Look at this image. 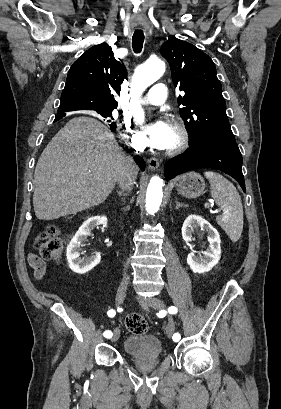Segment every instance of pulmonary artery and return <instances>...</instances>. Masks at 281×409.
<instances>
[{"label":"pulmonary artery","instance_id":"e3ab8cb5","mask_svg":"<svg viewBox=\"0 0 281 409\" xmlns=\"http://www.w3.org/2000/svg\"><path fill=\"white\" fill-rule=\"evenodd\" d=\"M166 84L164 81H155L152 88L151 93L147 95V99L143 101V105H154V106H161L163 104V99H166L168 93L164 90Z\"/></svg>","mask_w":281,"mask_h":409}]
</instances>
